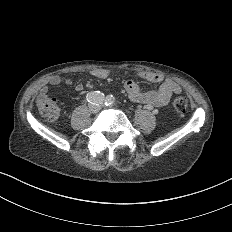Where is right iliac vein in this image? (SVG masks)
<instances>
[{"mask_svg":"<svg viewBox=\"0 0 232 232\" xmlns=\"http://www.w3.org/2000/svg\"><path fill=\"white\" fill-rule=\"evenodd\" d=\"M89 109L92 113L98 112L100 110V107L98 105L93 106L92 104L89 106Z\"/></svg>","mask_w":232,"mask_h":232,"instance_id":"right-iliac-vein-1","label":"right iliac vein"}]
</instances>
